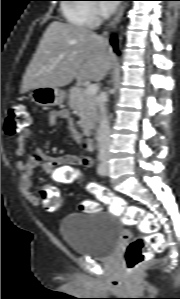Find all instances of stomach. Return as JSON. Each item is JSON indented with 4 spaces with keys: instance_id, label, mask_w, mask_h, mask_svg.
Wrapping results in <instances>:
<instances>
[{
    "instance_id": "obj_1",
    "label": "stomach",
    "mask_w": 180,
    "mask_h": 299,
    "mask_svg": "<svg viewBox=\"0 0 180 299\" xmlns=\"http://www.w3.org/2000/svg\"><path fill=\"white\" fill-rule=\"evenodd\" d=\"M66 94L59 88L38 87L31 93L32 101L42 107L60 105L64 102Z\"/></svg>"
}]
</instances>
